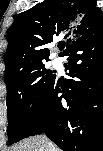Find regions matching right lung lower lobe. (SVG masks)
Masks as SVG:
<instances>
[{
  "mask_svg": "<svg viewBox=\"0 0 103 151\" xmlns=\"http://www.w3.org/2000/svg\"><path fill=\"white\" fill-rule=\"evenodd\" d=\"M63 56L72 79H54L20 140L45 132L63 151L93 150L103 126V27L85 33Z\"/></svg>",
  "mask_w": 103,
  "mask_h": 151,
  "instance_id": "obj_1",
  "label": "right lung lower lobe"
}]
</instances>
